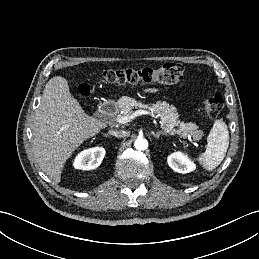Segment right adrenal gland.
I'll list each match as a JSON object with an SVG mask.
<instances>
[{
    "mask_svg": "<svg viewBox=\"0 0 259 259\" xmlns=\"http://www.w3.org/2000/svg\"><path fill=\"white\" fill-rule=\"evenodd\" d=\"M104 137H109V135L108 134H104Z\"/></svg>",
    "mask_w": 259,
    "mask_h": 259,
    "instance_id": "1",
    "label": "right adrenal gland"
}]
</instances>
